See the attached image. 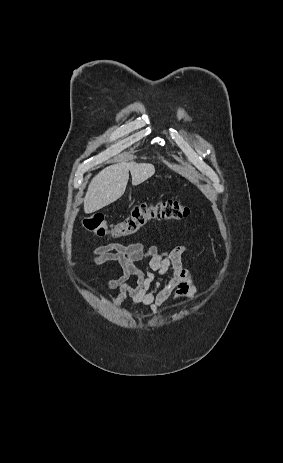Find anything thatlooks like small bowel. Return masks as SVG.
I'll list each match as a JSON object with an SVG mask.
<instances>
[{
  "label": "small bowel",
  "instance_id": "small-bowel-1",
  "mask_svg": "<svg viewBox=\"0 0 283 463\" xmlns=\"http://www.w3.org/2000/svg\"><path fill=\"white\" fill-rule=\"evenodd\" d=\"M186 253L184 246H176L165 253L156 246H146L142 242L129 245L111 243L95 248L88 264H119L122 274L107 280L104 285L118 292L117 296L110 298L111 303L118 308L143 305L155 314L171 296L179 300L190 299L197 294L198 285L191 271L183 265ZM142 260L147 261L145 271L135 265ZM131 278L136 279V285L130 284Z\"/></svg>",
  "mask_w": 283,
  "mask_h": 463
}]
</instances>
